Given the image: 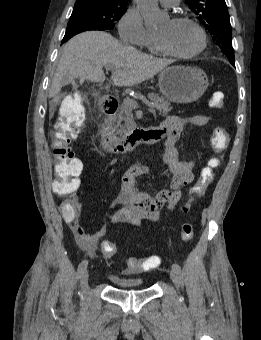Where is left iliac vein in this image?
Wrapping results in <instances>:
<instances>
[{
  "mask_svg": "<svg viewBox=\"0 0 261 340\" xmlns=\"http://www.w3.org/2000/svg\"><path fill=\"white\" fill-rule=\"evenodd\" d=\"M170 278L173 281V283L175 284V286L179 287L180 279H179V274L176 270H174V269L170 270Z\"/></svg>",
  "mask_w": 261,
  "mask_h": 340,
  "instance_id": "4c4485c4",
  "label": "left iliac vein"
}]
</instances>
